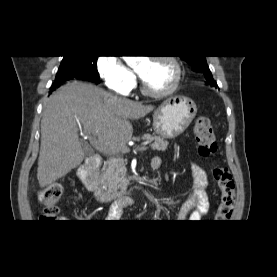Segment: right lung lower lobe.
<instances>
[{
    "mask_svg": "<svg viewBox=\"0 0 277 277\" xmlns=\"http://www.w3.org/2000/svg\"><path fill=\"white\" fill-rule=\"evenodd\" d=\"M74 78H76V79H83V80H90L92 82L97 83L96 81L91 80L87 76L79 75V74H74L73 72L65 73V74H57V76H56V78L54 80L53 86L51 87L50 93L52 91H54L57 87H59L60 84H62L63 82H65L67 80H70V79H74Z\"/></svg>",
    "mask_w": 277,
    "mask_h": 277,
    "instance_id": "98d812e1",
    "label": "right lung lower lobe"
}]
</instances>
